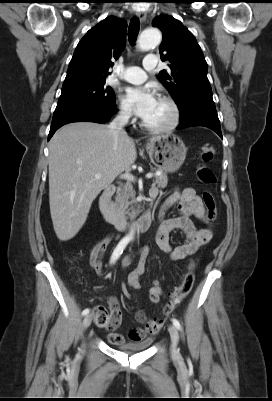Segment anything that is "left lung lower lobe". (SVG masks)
<instances>
[{
  "label": "left lung lower lobe",
  "mask_w": 272,
  "mask_h": 401,
  "mask_svg": "<svg viewBox=\"0 0 272 401\" xmlns=\"http://www.w3.org/2000/svg\"><path fill=\"white\" fill-rule=\"evenodd\" d=\"M180 125L177 129L191 126H205L214 130L221 138L220 122L214 104H196L180 112Z\"/></svg>",
  "instance_id": "1"
}]
</instances>
